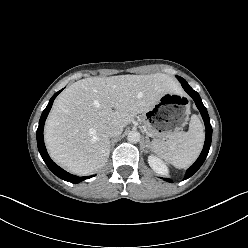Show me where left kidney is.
<instances>
[{
  "label": "left kidney",
  "instance_id": "left-kidney-1",
  "mask_svg": "<svg viewBox=\"0 0 248 248\" xmlns=\"http://www.w3.org/2000/svg\"><path fill=\"white\" fill-rule=\"evenodd\" d=\"M148 163L150 167L158 174L165 175L168 173L167 166L163 161L155 155L148 156Z\"/></svg>",
  "mask_w": 248,
  "mask_h": 248
}]
</instances>
